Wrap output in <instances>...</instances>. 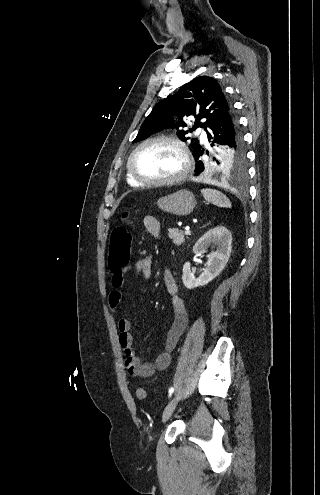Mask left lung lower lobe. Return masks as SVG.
<instances>
[{
    "label": "left lung lower lobe",
    "mask_w": 320,
    "mask_h": 495,
    "mask_svg": "<svg viewBox=\"0 0 320 495\" xmlns=\"http://www.w3.org/2000/svg\"><path fill=\"white\" fill-rule=\"evenodd\" d=\"M238 128V120L233 113L232 108L222 114L216 121L212 124L207 132L208 140H212L211 146L214 145H225L227 143L233 144ZM195 160L197 161V168L195 172L199 175L205 169L204 163L200 160V156L203 155V150L197 151L193 154Z\"/></svg>",
    "instance_id": "1"
}]
</instances>
